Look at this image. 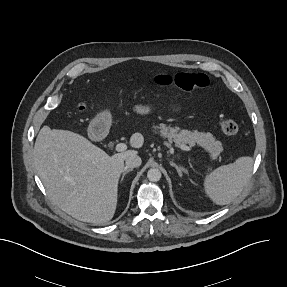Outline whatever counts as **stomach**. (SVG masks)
<instances>
[{"mask_svg": "<svg viewBox=\"0 0 287 287\" xmlns=\"http://www.w3.org/2000/svg\"><path fill=\"white\" fill-rule=\"evenodd\" d=\"M111 123L112 115L108 109H104L97 113L90 124V128L99 129L100 131L106 132L109 130Z\"/></svg>", "mask_w": 287, "mask_h": 287, "instance_id": "1", "label": "stomach"}]
</instances>
